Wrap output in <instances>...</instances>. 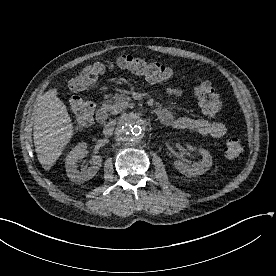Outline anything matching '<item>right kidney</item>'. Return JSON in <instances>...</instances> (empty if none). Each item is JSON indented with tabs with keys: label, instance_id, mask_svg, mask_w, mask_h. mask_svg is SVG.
I'll list each match as a JSON object with an SVG mask.
<instances>
[{
	"label": "right kidney",
	"instance_id": "1",
	"mask_svg": "<svg viewBox=\"0 0 276 276\" xmlns=\"http://www.w3.org/2000/svg\"><path fill=\"white\" fill-rule=\"evenodd\" d=\"M87 149L85 142L76 145L66 157V172L67 176L76 183H82L93 178L101 167L102 158L99 155L92 157L91 166L86 170L79 171L77 169V162L84 157Z\"/></svg>",
	"mask_w": 276,
	"mask_h": 276
}]
</instances>
